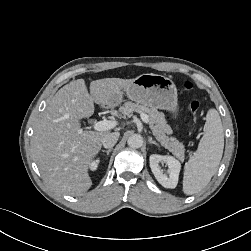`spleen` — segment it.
<instances>
[{"instance_id":"spleen-1","label":"spleen","mask_w":251,"mask_h":251,"mask_svg":"<svg viewBox=\"0 0 251 251\" xmlns=\"http://www.w3.org/2000/svg\"><path fill=\"white\" fill-rule=\"evenodd\" d=\"M203 130L198 149L184 168L183 192L186 195L196 194L208 185L222 158L224 132L217 110H208Z\"/></svg>"}]
</instances>
